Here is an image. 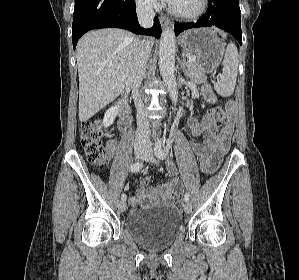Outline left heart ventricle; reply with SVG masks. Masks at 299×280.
Instances as JSON below:
<instances>
[{
    "label": "left heart ventricle",
    "instance_id": "left-heart-ventricle-1",
    "mask_svg": "<svg viewBox=\"0 0 299 280\" xmlns=\"http://www.w3.org/2000/svg\"><path fill=\"white\" fill-rule=\"evenodd\" d=\"M201 0H175L172 6L184 13H193L199 9Z\"/></svg>",
    "mask_w": 299,
    "mask_h": 280
}]
</instances>
